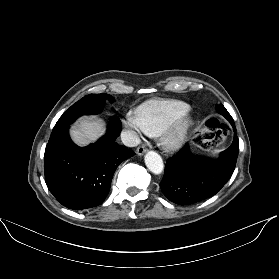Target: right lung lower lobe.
Returning <instances> with one entry per match:
<instances>
[{"instance_id":"obj_1","label":"right lung lower lobe","mask_w":279,"mask_h":279,"mask_svg":"<svg viewBox=\"0 0 279 279\" xmlns=\"http://www.w3.org/2000/svg\"><path fill=\"white\" fill-rule=\"evenodd\" d=\"M70 124L55 127L44 155L45 181L65 207L79 210L100 205L106 198L119 164L135 153L115 142L121 122L114 117L106 135L88 147L69 137Z\"/></svg>"}]
</instances>
